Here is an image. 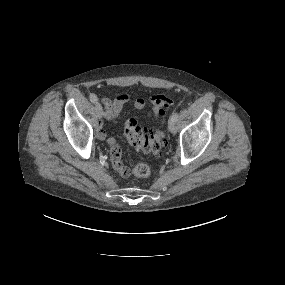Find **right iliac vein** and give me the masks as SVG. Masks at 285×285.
Listing matches in <instances>:
<instances>
[{
    "label": "right iliac vein",
    "mask_w": 285,
    "mask_h": 285,
    "mask_svg": "<svg viewBox=\"0 0 285 285\" xmlns=\"http://www.w3.org/2000/svg\"><path fill=\"white\" fill-rule=\"evenodd\" d=\"M95 109L97 111L98 117L100 118L102 116L103 110H102L101 105L98 102L95 103Z\"/></svg>",
    "instance_id": "right-iliac-vein-1"
}]
</instances>
